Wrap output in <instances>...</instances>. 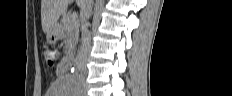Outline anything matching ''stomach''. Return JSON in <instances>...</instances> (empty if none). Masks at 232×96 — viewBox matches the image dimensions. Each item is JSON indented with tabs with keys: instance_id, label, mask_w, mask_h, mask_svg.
Wrapping results in <instances>:
<instances>
[{
	"instance_id": "stomach-1",
	"label": "stomach",
	"mask_w": 232,
	"mask_h": 96,
	"mask_svg": "<svg viewBox=\"0 0 232 96\" xmlns=\"http://www.w3.org/2000/svg\"><path fill=\"white\" fill-rule=\"evenodd\" d=\"M61 38L60 26H56L47 33V42L54 45Z\"/></svg>"
}]
</instances>
